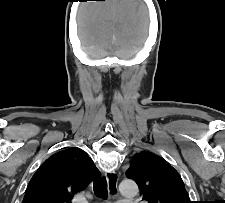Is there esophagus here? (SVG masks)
Listing matches in <instances>:
<instances>
[{"label":"esophagus","instance_id":"obj_1","mask_svg":"<svg viewBox=\"0 0 225 203\" xmlns=\"http://www.w3.org/2000/svg\"><path fill=\"white\" fill-rule=\"evenodd\" d=\"M107 182L112 194H118V175L115 172H109L106 174Z\"/></svg>","mask_w":225,"mask_h":203}]
</instances>
